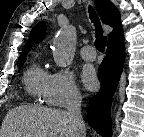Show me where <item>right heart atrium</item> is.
Here are the masks:
<instances>
[{
    "label": "right heart atrium",
    "mask_w": 144,
    "mask_h": 137,
    "mask_svg": "<svg viewBox=\"0 0 144 137\" xmlns=\"http://www.w3.org/2000/svg\"><path fill=\"white\" fill-rule=\"evenodd\" d=\"M81 98L73 73L68 69L56 70L49 74L43 94L45 103L53 107H67Z\"/></svg>",
    "instance_id": "d8ad5b80"
}]
</instances>
